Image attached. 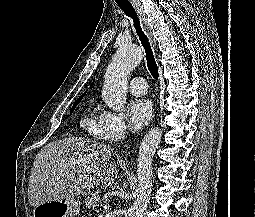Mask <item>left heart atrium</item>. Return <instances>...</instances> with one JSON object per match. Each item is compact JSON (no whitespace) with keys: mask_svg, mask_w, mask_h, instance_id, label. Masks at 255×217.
<instances>
[{"mask_svg":"<svg viewBox=\"0 0 255 217\" xmlns=\"http://www.w3.org/2000/svg\"><path fill=\"white\" fill-rule=\"evenodd\" d=\"M152 116V104L147 99H134L128 106V119L133 130L142 129Z\"/></svg>","mask_w":255,"mask_h":217,"instance_id":"left-heart-atrium-1","label":"left heart atrium"}]
</instances>
